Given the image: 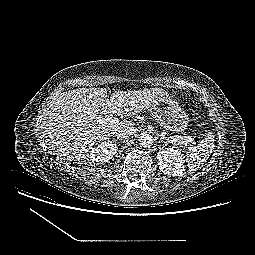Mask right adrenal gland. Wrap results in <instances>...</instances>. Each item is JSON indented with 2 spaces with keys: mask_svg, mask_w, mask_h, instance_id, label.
<instances>
[{
  "mask_svg": "<svg viewBox=\"0 0 255 255\" xmlns=\"http://www.w3.org/2000/svg\"><path fill=\"white\" fill-rule=\"evenodd\" d=\"M113 140L116 142L117 140L115 138H113Z\"/></svg>",
  "mask_w": 255,
  "mask_h": 255,
  "instance_id": "1",
  "label": "right adrenal gland"
}]
</instances>
